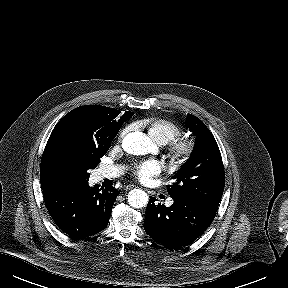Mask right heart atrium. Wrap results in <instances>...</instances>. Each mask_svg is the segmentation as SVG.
Segmentation results:
<instances>
[{
  "label": "right heart atrium",
  "instance_id": "right-heart-atrium-1",
  "mask_svg": "<svg viewBox=\"0 0 288 288\" xmlns=\"http://www.w3.org/2000/svg\"><path fill=\"white\" fill-rule=\"evenodd\" d=\"M127 131H128L127 128L123 129L119 134V139L123 138L125 136V134L127 133Z\"/></svg>",
  "mask_w": 288,
  "mask_h": 288
}]
</instances>
